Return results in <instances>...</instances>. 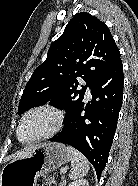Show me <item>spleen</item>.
<instances>
[{"label":"spleen","instance_id":"3e777b00","mask_svg":"<svg viewBox=\"0 0 138 186\" xmlns=\"http://www.w3.org/2000/svg\"><path fill=\"white\" fill-rule=\"evenodd\" d=\"M67 150L71 156L70 179H79L86 175L90 169L89 162L86 157L73 147L68 146Z\"/></svg>","mask_w":138,"mask_h":186}]
</instances>
